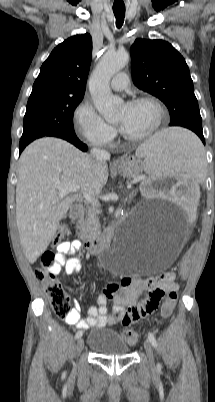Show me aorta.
<instances>
[{"label":"aorta","mask_w":215,"mask_h":402,"mask_svg":"<svg viewBox=\"0 0 215 402\" xmlns=\"http://www.w3.org/2000/svg\"><path fill=\"white\" fill-rule=\"evenodd\" d=\"M129 61V54L125 51L106 53L95 67L90 80L89 91L93 103L98 112L106 121H112L116 118L122 99L112 94L109 82L111 78L121 69H123ZM114 269L122 266L121 257H107Z\"/></svg>","instance_id":"aorta-1"}]
</instances>
